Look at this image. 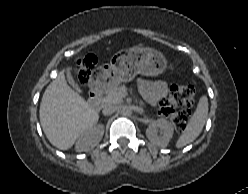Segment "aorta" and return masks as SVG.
Wrapping results in <instances>:
<instances>
[{
  "label": "aorta",
  "instance_id": "762f6f07",
  "mask_svg": "<svg viewBox=\"0 0 248 194\" xmlns=\"http://www.w3.org/2000/svg\"><path fill=\"white\" fill-rule=\"evenodd\" d=\"M123 116H130L132 114V110L129 106H124L121 110Z\"/></svg>",
  "mask_w": 248,
  "mask_h": 194
}]
</instances>
